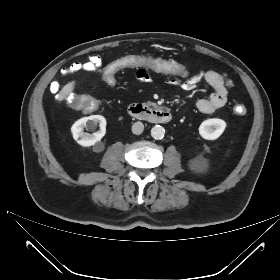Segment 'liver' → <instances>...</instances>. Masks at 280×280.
<instances>
[{
  "label": "liver",
  "mask_w": 280,
  "mask_h": 280,
  "mask_svg": "<svg viewBox=\"0 0 280 280\" xmlns=\"http://www.w3.org/2000/svg\"><path fill=\"white\" fill-rule=\"evenodd\" d=\"M75 81L66 84L59 92V101L64 100L68 95H70L74 89Z\"/></svg>",
  "instance_id": "liver-1"
}]
</instances>
